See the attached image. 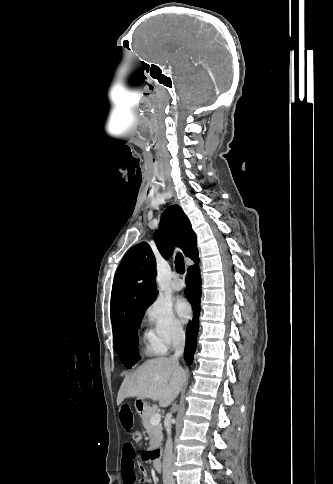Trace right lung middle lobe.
Instances as JSON below:
<instances>
[{
	"label": "right lung middle lobe",
	"mask_w": 333,
	"mask_h": 484,
	"mask_svg": "<svg viewBox=\"0 0 333 484\" xmlns=\"http://www.w3.org/2000/svg\"><path fill=\"white\" fill-rule=\"evenodd\" d=\"M146 309L129 315L113 336L114 348L127 368H131L140 360L137 330Z\"/></svg>",
	"instance_id": "1"
}]
</instances>
